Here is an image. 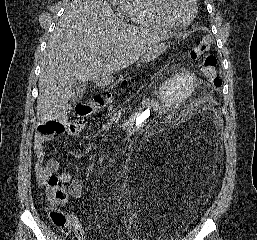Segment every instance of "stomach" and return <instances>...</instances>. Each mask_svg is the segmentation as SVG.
Wrapping results in <instances>:
<instances>
[{
    "mask_svg": "<svg viewBox=\"0 0 257 240\" xmlns=\"http://www.w3.org/2000/svg\"><path fill=\"white\" fill-rule=\"evenodd\" d=\"M168 47L170 46L162 42L156 44L154 47H152L145 53V55L142 57L141 63L144 64L155 60L157 57L162 55Z\"/></svg>",
    "mask_w": 257,
    "mask_h": 240,
    "instance_id": "stomach-1",
    "label": "stomach"
}]
</instances>
